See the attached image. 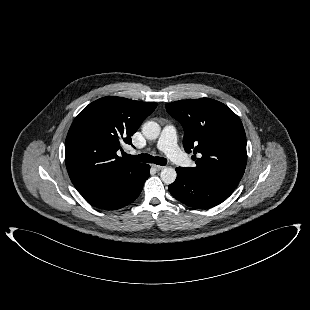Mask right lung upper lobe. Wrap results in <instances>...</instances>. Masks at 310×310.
I'll use <instances>...</instances> for the list:
<instances>
[{"mask_svg": "<svg viewBox=\"0 0 310 310\" xmlns=\"http://www.w3.org/2000/svg\"><path fill=\"white\" fill-rule=\"evenodd\" d=\"M157 107L107 96L100 98L74 119L65 142V163L69 177L80 194L123 181L142 163L122 160L120 144H132L131 136Z\"/></svg>", "mask_w": 310, "mask_h": 310, "instance_id": "cb5924a9", "label": "right lung upper lobe"}]
</instances>
